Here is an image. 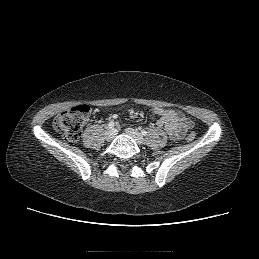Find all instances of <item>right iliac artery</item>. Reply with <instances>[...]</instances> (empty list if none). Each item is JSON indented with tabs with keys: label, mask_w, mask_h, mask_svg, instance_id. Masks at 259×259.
<instances>
[{
	"label": "right iliac artery",
	"mask_w": 259,
	"mask_h": 259,
	"mask_svg": "<svg viewBox=\"0 0 259 259\" xmlns=\"http://www.w3.org/2000/svg\"><path fill=\"white\" fill-rule=\"evenodd\" d=\"M113 127H114V122H112V121H111V122H109V123H108V128H110V129H111V128H113Z\"/></svg>",
	"instance_id": "1"
}]
</instances>
